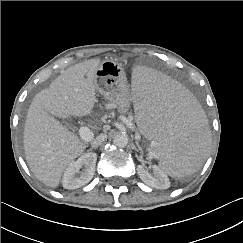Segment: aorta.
<instances>
[{
    "label": "aorta",
    "instance_id": "obj_1",
    "mask_svg": "<svg viewBox=\"0 0 243 243\" xmlns=\"http://www.w3.org/2000/svg\"><path fill=\"white\" fill-rule=\"evenodd\" d=\"M129 142V137L126 133H118L113 138V143L117 147H125Z\"/></svg>",
    "mask_w": 243,
    "mask_h": 243
}]
</instances>
